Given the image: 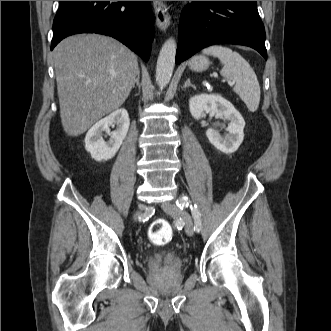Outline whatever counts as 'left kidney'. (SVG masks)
Here are the masks:
<instances>
[{
  "label": "left kidney",
  "instance_id": "1",
  "mask_svg": "<svg viewBox=\"0 0 331 331\" xmlns=\"http://www.w3.org/2000/svg\"><path fill=\"white\" fill-rule=\"evenodd\" d=\"M189 109L196 120L201 119L205 113L216 114L228 120L229 124L226 128L228 133L225 136H221L214 128H209L206 136L210 143L223 153H233L238 149L244 139L245 121L228 100L218 94H201L189 100Z\"/></svg>",
  "mask_w": 331,
  "mask_h": 331
}]
</instances>
